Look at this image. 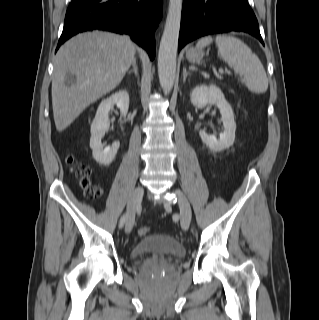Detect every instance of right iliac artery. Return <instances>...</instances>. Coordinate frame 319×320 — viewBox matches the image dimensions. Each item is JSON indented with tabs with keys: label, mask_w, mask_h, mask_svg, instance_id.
<instances>
[{
	"label": "right iliac artery",
	"mask_w": 319,
	"mask_h": 320,
	"mask_svg": "<svg viewBox=\"0 0 319 320\" xmlns=\"http://www.w3.org/2000/svg\"><path fill=\"white\" fill-rule=\"evenodd\" d=\"M125 218H126V216H125V215H123V216L121 217V219H120V223H119V227H120V228H122V227L124 226Z\"/></svg>",
	"instance_id": "obj_1"
}]
</instances>
